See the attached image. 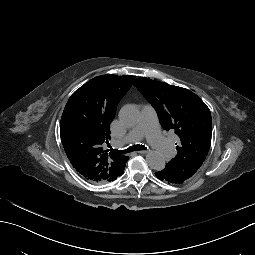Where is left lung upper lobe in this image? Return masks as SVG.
Here are the masks:
<instances>
[{"instance_id": "1", "label": "left lung upper lobe", "mask_w": 255, "mask_h": 255, "mask_svg": "<svg viewBox=\"0 0 255 255\" xmlns=\"http://www.w3.org/2000/svg\"><path fill=\"white\" fill-rule=\"evenodd\" d=\"M134 86L156 109L165 130L180 138L178 154L166 164L169 173L181 183L200 168L211 145L212 119L209 108L188 89L138 78Z\"/></svg>"}]
</instances>
